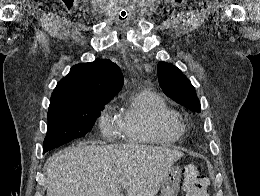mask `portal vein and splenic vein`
Wrapping results in <instances>:
<instances>
[{"label":"portal vein and splenic vein","mask_w":260,"mask_h":196,"mask_svg":"<svg viewBox=\"0 0 260 196\" xmlns=\"http://www.w3.org/2000/svg\"><path fill=\"white\" fill-rule=\"evenodd\" d=\"M129 188V184H121L120 190H127Z\"/></svg>","instance_id":"18ae733b"}]
</instances>
